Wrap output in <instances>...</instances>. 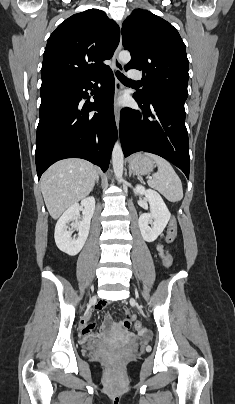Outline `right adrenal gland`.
Returning <instances> with one entry per match:
<instances>
[{
	"label": "right adrenal gland",
	"instance_id": "1",
	"mask_svg": "<svg viewBox=\"0 0 235 404\" xmlns=\"http://www.w3.org/2000/svg\"><path fill=\"white\" fill-rule=\"evenodd\" d=\"M98 182H99V175L96 178V184H98Z\"/></svg>",
	"mask_w": 235,
	"mask_h": 404
}]
</instances>
